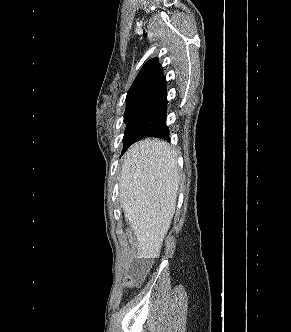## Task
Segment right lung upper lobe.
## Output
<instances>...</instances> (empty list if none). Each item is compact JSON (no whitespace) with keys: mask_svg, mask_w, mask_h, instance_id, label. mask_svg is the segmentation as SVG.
<instances>
[{"mask_svg":"<svg viewBox=\"0 0 291 332\" xmlns=\"http://www.w3.org/2000/svg\"><path fill=\"white\" fill-rule=\"evenodd\" d=\"M166 80L163 75V68L158 58L147 61L138 73L130 87L126 99L135 97H148L155 91L165 86Z\"/></svg>","mask_w":291,"mask_h":332,"instance_id":"right-lung-upper-lobe-1","label":"right lung upper lobe"}]
</instances>
